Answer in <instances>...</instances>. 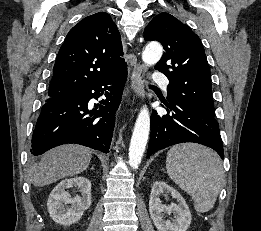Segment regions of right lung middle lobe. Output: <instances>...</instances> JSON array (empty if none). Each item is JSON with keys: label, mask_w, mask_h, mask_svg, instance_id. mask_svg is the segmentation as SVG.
I'll return each mask as SVG.
<instances>
[{"label": "right lung middle lobe", "mask_w": 261, "mask_h": 231, "mask_svg": "<svg viewBox=\"0 0 261 231\" xmlns=\"http://www.w3.org/2000/svg\"><path fill=\"white\" fill-rule=\"evenodd\" d=\"M54 100H57V99H54V98L49 97V98L46 100V102H51V101H54Z\"/></svg>", "instance_id": "1"}]
</instances>
